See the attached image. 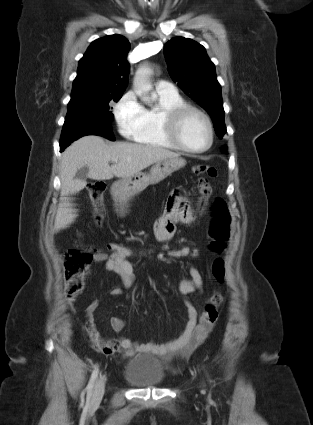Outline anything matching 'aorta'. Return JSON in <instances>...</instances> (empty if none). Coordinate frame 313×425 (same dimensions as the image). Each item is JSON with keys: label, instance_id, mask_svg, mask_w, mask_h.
Here are the masks:
<instances>
[{"label": "aorta", "instance_id": "1", "mask_svg": "<svg viewBox=\"0 0 313 425\" xmlns=\"http://www.w3.org/2000/svg\"><path fill=\"white\" fill-rule=\"evenodd\" d=\"M152 71L146 66H140L134 76L133 79V87L135 93L140 97L143 102H150L149 92L152 89V85L150 83V75Z\"/></svg>", "mask_w": 313, "mask_h": 425}]
</instances>
